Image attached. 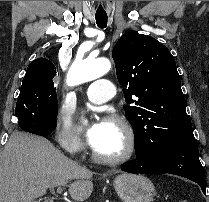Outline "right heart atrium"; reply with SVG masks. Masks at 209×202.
Wrapping results in <instances>:
<instances>
[{
  "label": "right heart atrium",
  "instance_id": "1",
  "mask_svg": "<svg viewBox=\"0 0 209 202\" xmlns=\"http://www.w3.org/2000/svg\"><path fill=\"white\" fill-rule=\"evenodd\" d=\"M54 138L61 147L70 154H77L83 147V141L71 123L57 122L54 128ZM71 175L76 173L77 167L72 161L67 162Z\"/></svg>",
  "mask_w": 209,
  "mask_h": 202
}]
</instances>
